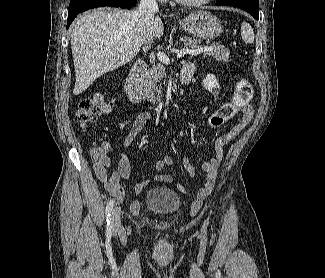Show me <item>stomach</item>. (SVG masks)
Returning <instances> with one entry per match:
<instances>
[{
    "label": "stomach",
    "mask_w": 325,
    "mask_h": 278,
    "mask_svg": "<svg viewBox=\"0 0 325 278\" xmlns=\"http://www.w3.org/2000/svg\"><path fill=\"white\" fill-rule=\"evenodd\" d=\"M180 26L190 35L199 39H215L223 31L221 21L208 11L200 10L190 13L179 21Z\"/></svg>",
    "instance_id": "obj_1"
}]
</instances>
